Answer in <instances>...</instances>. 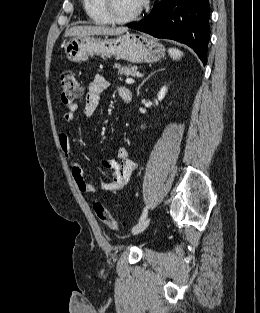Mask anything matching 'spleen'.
<instances>
[{"label":"spleen","instance_id":"spleen-1","mask_svg":"<svg viewBox=\"0 0 260 313\" xmlns=\"http://www.w3.org/2000/svg\"><path fill=\"white\" fill-rule=\"evenodd\" d=\"M168 53L173 60H180L183 56V52L176 48H169Z\"/></svg>","mask_w":260,"mask_h":313}]
</instances>
